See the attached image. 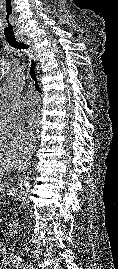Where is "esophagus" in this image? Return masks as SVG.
I'll use <instances>...</instances> for the list:
<instances>
[{"label": "esophagus", "instance_id": "obj_1", "mask_svg": "<svg viewBox=\"0 0 118 269\" xmlns=\"http://www.w3.org/2000/svg\"><path fill=\"white\" fill-rule=\"evenodd\" d=\"M20 41H22V42L28 44V45L31 47V49H32V51H33V53H34V56H35V58H36V60H37V66H36V68H37V72L39 73V70H40V63H39V61H38V58H37V52H36V49H35V46H34V43H33L32 39H31V38H28V37H24V38H21Z\"/></svg>", "mask_w": 118, "mask_h": 269}]
</instances>
